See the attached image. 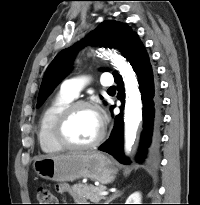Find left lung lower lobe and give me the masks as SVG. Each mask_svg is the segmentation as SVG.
Listing matches in <instances>:
<instances>
[{
  "label": "left lung lower lobe",
  "instance_id": "obj_1",
  "mask_svg": "<svg viewBox=\"0 0 200 205\" xmlns=\"http://www.w3.org/2000/svg\"><path fill=\"white\" fill-rule=\"evenodd\" d=\"M124 57L127 58L137 74L142 95L144 130L141 135L137 158L138 161L148 165H156L159 157L160 127L162 123L161 99L157 82L154 80L148 54L137 34L130 40ZM113 76L119 91L118 99L122 102V106L120 107L121 113L115 117V124L110 138L99 149L111 154L119 162L127 164L128 160L123 154L122 110L125 102L124 86L122 78L117 71L113 73Z\"/></svg>",
  "mask_w": 200,
  "mask_h": 205
}]
</instances>
